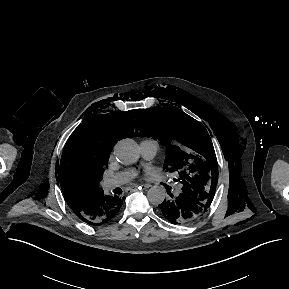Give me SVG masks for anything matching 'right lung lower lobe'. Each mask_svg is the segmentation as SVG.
<instances>
[{"mask_svg":"<svg viewBox=\"0 0 289 289\" xmlns=\"http://www.w3.org/2000/svg\"><path fill=\"white\" fill-rule=\"evenodd\" d=\"M123 199L108 196L100 192L83 209L75 214L90 225H101L111 220L119 211Z\"/></svg>","mask_w":289,"mask_h":289,"instance_id":"1","label":"right lung lower lobe"}]
</instances>
